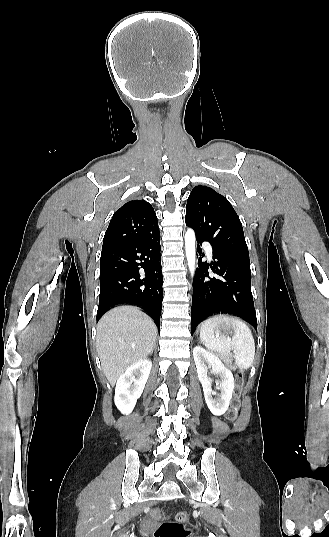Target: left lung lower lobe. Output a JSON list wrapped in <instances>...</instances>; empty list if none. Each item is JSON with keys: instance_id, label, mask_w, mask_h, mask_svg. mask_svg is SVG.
Segmentation results:
<instances>
[{"instance_id": "1", "label": "left lung lower lobe", "mask_w": 329, "mask_h": 537, "mask_svg": "<svg viewBox=\"0 0 329 537\" xmlns=\"http://www.w3.org/2000/svg\"><path fill=\"white\" fill-rule=\"evenodd\" d=\"M196 240L200 245L203 242ZM200 245L197 252L201 255ZM213 260L210 267L217 276H210L209 265L199 258L193 281L191 333L204 319L218 313L237 315L257 330L250 264L214 249Z\"/></svg>"}]
</instances>
